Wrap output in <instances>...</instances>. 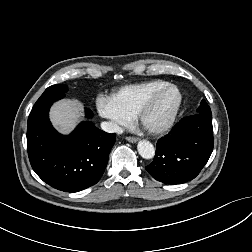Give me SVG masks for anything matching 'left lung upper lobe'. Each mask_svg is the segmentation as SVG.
<instances>
[{
  "label": "left lung upper lobe",
  "mask_w": 252,
  "mask_h": 252,
  "mask_svg": "<svg viewBox=\"0 0 252 252\" xmlns=\"http://www.w3.org/2000/svg\"><path fill=\"white\" fill-rule=\"evenodd\" d=\"M197 113L211 115V109H210V107L208 106V104L206 103L205 100H202L201 105L197 109Z\"/></svg>",
  "instance_id": "1"
}]
</instances>
